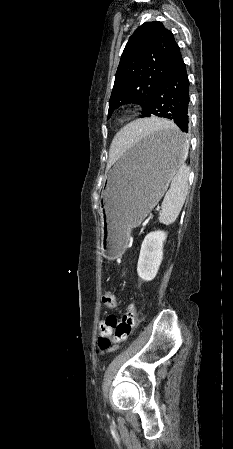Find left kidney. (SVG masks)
Returning <instances> with one entry per match:
<instances>
[{"mask_svg":"<svg viewBox=\"0 0 233 449\" xmlns=\"http://www.w3.org/2000/svg\"><path fill=\"white\" fill-rule=\"evenodd\" d=\"M166 237V232L160 230L145 236L137 264V273L142 280L151 281L156 277L163 259V243Z\"/></svg>","mask_w":233,"mask_h":449,"instance_id":"left-kidney-1","label":"left kidney"}]
</instances>
